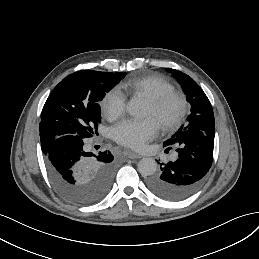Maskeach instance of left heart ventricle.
Segmentation results:
<instances>
[{
    "mask_svg": "<svg viewBox=\"0 0 259 259\" xmlns=\"http://www.w3.org/2000/svg\"><path fill=\"white\" fill-rule=\"evenodd\" d=\"M153 116V108L151 106V104L149 103V108H148V113H147V116ZM168 115L171 116L172 115V112H168Z\"/></svg>",
    "mask_w": 259,
    "mask_h": 259,
    "instance_id": "obj_1",
    "label": "left heart ventricle"
}]
</instances>
